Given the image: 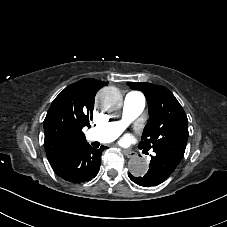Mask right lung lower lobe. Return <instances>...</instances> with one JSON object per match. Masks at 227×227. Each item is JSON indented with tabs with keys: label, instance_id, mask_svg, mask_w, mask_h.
<instances>
[{
	"label": "right lung lower lobe",
	"instance_id": "98d812e1",
	"mask_svg": "<svg viewBox=\"0 0 227 227\" xmlns=\"http://www.w3.org/2000/svg\"><path fill=\"white\" fill-rule=\"evenodd\" d=\"M101 149L92 148L87 142L72 149L60 163L52 167L61 178L72 183L86 182L94 178L100 168Z\"/></svg>",
	"mask_w": 227,
	"mask_h": 227
}]
</instances>
